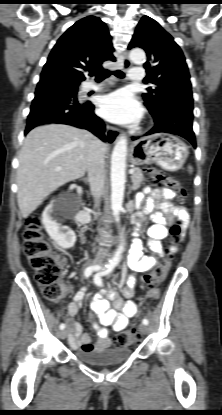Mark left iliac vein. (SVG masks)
I'll return each mask as SVG.
<instances>
[{"label":"left iliac vein","mask_w":222,"mask_h":415,"mask_svg":"<svg viewBox=\"0 0 222 415\" xmlns=\"http://www.w3.org/2000/svg\"><path fill=\"white\" fill-rule=\"evenodd\" d=\"M139 330L143 335H145L148 332V327L146 324L143 323L139 325Z\"/></svg>","instance_id":"1"}]
</instances>
